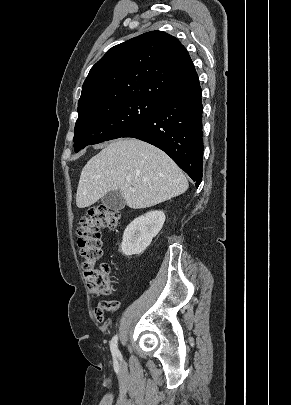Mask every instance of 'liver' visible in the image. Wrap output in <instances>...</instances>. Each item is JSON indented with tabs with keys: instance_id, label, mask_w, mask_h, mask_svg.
<instances>
[{
	"instance_id": "1",
	"label": "liver",
	"mask_w": 291,
	"mask_h": 405,
	"mask_svg": "<svg viewBox=\"0 0 291 405\" xmlns=\"http://www.w3.org/2000/svg\"><path fill=\"white\" fill-rule=\"evenodd\" d=\"M187 189V178L162 150L138 139L120 138L82 169L76 205L89 207L108 192L119 190L130 208L140 209L179 196Z\"/></svg>"
}]
</instances>
